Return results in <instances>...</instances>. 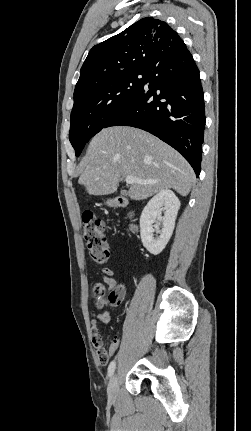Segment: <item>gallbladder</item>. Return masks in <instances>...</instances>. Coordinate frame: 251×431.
<instances>
[{"label": "gallbladder", "mask_w": 251, "mask_h": 431, "mask_svg": "<svg viewBox=\"0 0 251 431\" xmlns=\"http://www.w3.org/2000/svg\"><path fill=\"white\" fill-rule=\"evenodd\" d=\"M120 193H121V195H125L126 191L122 190Z\"/></svg>", "instance_id": "gallbladder-1"}]
</instances>
